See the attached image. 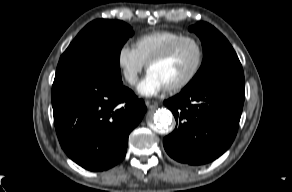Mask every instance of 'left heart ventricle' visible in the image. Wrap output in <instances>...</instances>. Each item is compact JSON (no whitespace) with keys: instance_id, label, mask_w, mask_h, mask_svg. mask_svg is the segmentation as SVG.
Segmentation results:
<instances>
[{"instance_id":"obj_1","label":"left heart ventricle","mask_w":292,"mask_h":192,"mask_svg":"<svg viewBox=\"0 0 292 192\" xmlns=\"http://www.w3.org/2000/svg\"><path fill=\"white\" fill-rule=\"evenodd\" d=\"M198 52L192 43H184L167 60L154 64L150 72L158 76L169 87L185 79L194 69Z\"/></svg>"}]
</instances>
